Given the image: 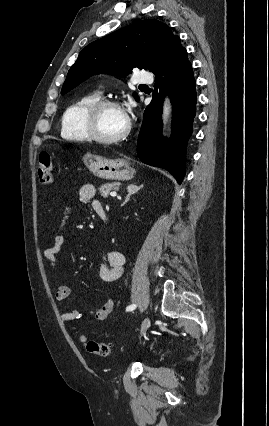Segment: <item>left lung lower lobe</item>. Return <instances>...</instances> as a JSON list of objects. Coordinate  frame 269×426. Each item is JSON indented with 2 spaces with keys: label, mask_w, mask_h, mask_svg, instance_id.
<instances>
[{
  "label": "left lung lower lobe",
  "mask_w": 269,
  "mask_h": 426,
  "mask_svg": "<svg viewBox=\"0 0 269 426\" xmlns=\"http://www.w3.org/2000/svg\"><path fill=\"white\" fill-rule=\"evenodd\" d=\"M150 72L155 74V90L151 103L144 111L137 154L142 162L168 170L180 184L185 174L186 145L192 133L197 95L192 65L179 36ZM165 94L171 97L173 104V133L168 140L161 137Z\"/></svg>",
  "instance_id": "obj_1"
}]
</instances>
